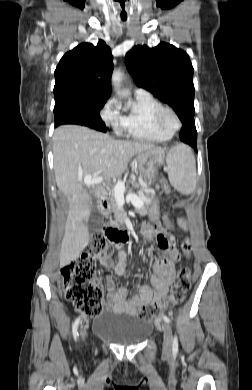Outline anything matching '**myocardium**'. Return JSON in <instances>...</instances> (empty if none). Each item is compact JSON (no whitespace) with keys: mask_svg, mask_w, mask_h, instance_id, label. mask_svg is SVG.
Here are the masks:
<instances>
[{"mask_svg":"<svg viewBox=\"0 0 252 390\" xmlns=\"http://www.w3.org/2000/svg\"><path fill=\"white\" fill-rule=\"evenodd\" d=\"M166 115H171L173 116V118L175 119V126L172 127V128H169L166 126L165 124V117ZM154 119H155V123L156 125L163 131H167V132H170V133H174L175 131H177L181 125H182V122H181V119L178 115V113L171 107L169 106H161L155 113V116H154Z\"/></svg>","mask_w":252,"mask_h":390,"instance_id":"myocardium-1","label":"myocardium"}]
</instances>
